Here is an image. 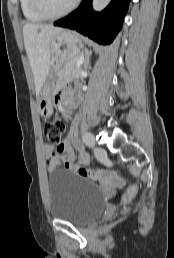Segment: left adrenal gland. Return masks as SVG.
I'll return each instance as SVG.
<instances>
[{"label": "left adrenal gland", "mask_w": 174, "mask_h": 258, "mask_svg": "<svg viewBox=\"0 0 174 258\" xmlns=\"http://www.w3.org/2000/svg\"><path fill=\"white\" fill-rule=\"evenodd\" d=\"M84 55H85L84 67L86 68L89 65L91 51L85 50V54Z\"/></svg>", "instance_id": "1"}]
</instances>
